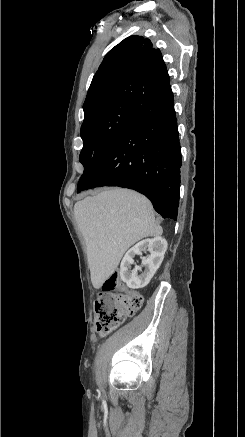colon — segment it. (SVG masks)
<instances>
[{"label":"colon","mask_w":245,"mask_h":437,"mask_svg":"<svg viewBox=\"0 0 245 437\" xmlns=\"http://www.w3.org/2000/svg\"><path fill=\"white\" fill-rule=\"evenodd\" d=\"M143 304V296L129 290L120 281L119 273L108 277L94 304L98 332L108 333L121 325L126 317L133 316Z\"/></svg>","instance_id":"colon-1"}]
</instances>
